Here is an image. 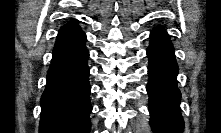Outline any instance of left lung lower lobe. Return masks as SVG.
Returning a JSON list of instances; mask_svg holds the SVG:
<instances>
[{
  "instance_id": "0a47b994",
  "label": "left lung lower lobe",
  "mask_w": 221,
  "mask_h": 133,
  "mask_svg": "<svg viewBox=\"0 0 221 133\" xmlns=\"http://www.w3.org/2000/svg\"><path fill=\"white\" fill-rule=\"evenodd\" d=\"M151 43L147 49L149 57L150 125L154 133H181L184 122L180 112L181 93L177 87L174 48L165 30L156 28L151 32Z\"/></svg>"
}]
</instances>
